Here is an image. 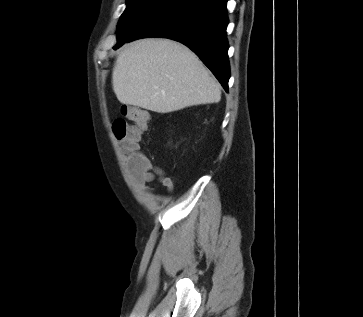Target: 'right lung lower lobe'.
<instances>
[{
    "label": "right lung lower lobe",
    "mask_w": 363,
    "mask_h": 317,
    "mask_svg": "<svg viewBox=\"0 0 363 317\" xmlns=\"http://www.w3.org/2000/svg\"><path fill=\"white\" fill-rule=\"evenodd\" d=\"M227 0H180L140 27L125 42L145 37H164L188 46L228 91Z\"/></svg>",
    "instance_id": "obj_1"
}]
</instances>
